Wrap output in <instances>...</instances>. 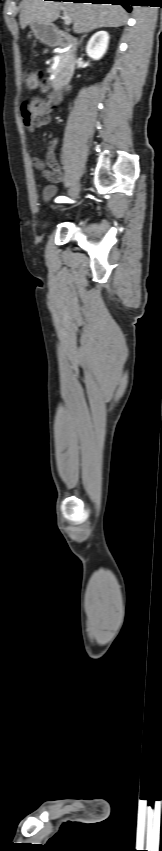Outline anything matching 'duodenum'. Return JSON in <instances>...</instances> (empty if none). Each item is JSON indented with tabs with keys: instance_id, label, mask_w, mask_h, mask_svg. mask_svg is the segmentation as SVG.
Returning <instances> with one entry per match:
<instances>
[{
	"instance_id": "obj_1",
	"label": "duodenum",
	"mask_w": 162,
	"mask_h": 851,
	"mask_svg": "<svg viewBox=\"0 0 162 851\" xmlns=\"http://www.w3.org/2000/svg\"><path fill=\"white\" fill-rule=\"evenodd\" d=\"M51 43L53 45H58V44L67 45V46H70L73 49L77 45L75 38H73L71 35L67 34L66 32L60 31V30L57 31L52 36ZM74 68H75V61L73 59L70 62L69 66H67L65 69L62 70L61 76L59 77V79H56L57 87L55 89H53L54 92L57 89H59L60 86L64 87L65 85L69 84L70 81H72V74L74 73Z\"/></svg>"
}]
</instances>
